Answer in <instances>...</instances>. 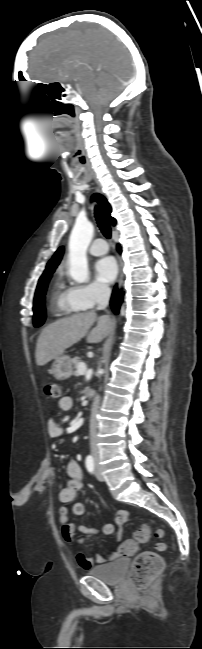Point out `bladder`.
Here are the masks:
<instances>
[{
    "instance_id": "bladder-1",
    "label": "bladder",
    "mask_w": 202,
    "mask_h": 649,
    "mask_svg": "<svg viewBox=\"0 0 202 649\" xmlns=\"http://www.w3.org/2000/svg\"><path fill=\"white\" fill-rule=\"evenodd\" d=\"M129 559L121 558L111 563L102 564L91 568L88 574L106 584H118L124 577Z\"/></svg>"
}]
</instances>
